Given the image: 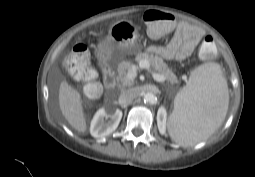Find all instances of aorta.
<instances>
[{
    "instance_id": "762f6f07",
    "label": "aorta",
    "mask_w": 255,
    "mask_h": 177,
    "mask_svg": "<svg viewBox=\"0 0 255 177\" xmlns=\"http://www.w3.org/2000/svg\"><path fill=\"white\" fill-rule=\"evenodd\" d=\"M144 102L153 104L155 102V95L152 92L145 93Z\"/></svg>"
}]
</instances>
